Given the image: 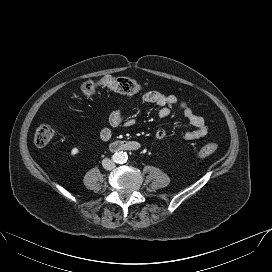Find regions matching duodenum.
I'll return each mask as SVG.
<instances>
[{
	"label": "duodenum",
	"instance_id": "410a0bca",
	"mask_svg": "<svg viewBox=\"0 0 272 272\" xmlns=\"http://www.w3.org/2000/svg\"><path fill=\"white\" fill-rule=\"evenodd\" d=\"M110 149L113 152H136L140 149V144L136 141H114L110 144Z\"/></svg>",
	"mask_w": 272,
	"mask_h": 272
}]
</instances>
